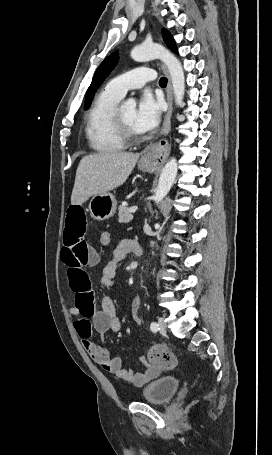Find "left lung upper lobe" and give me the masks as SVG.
<instances>
[{"label": "left lung upper lobe", "instance_id": "left-lung-upper-lobe-1", "mask_svg": "<svg viewBox=\"0 0 272 455\" xmlns=\"http://www.w3.org/2000/svg\"><path fill=\"white\" fill-rule=\"evenodd\" d=\"M163 38L166 45L171 48L172 51L178 53L175 40L173 39L172 35L166 30L163 29ZM118 62V52L115 51L111 55H109L98 67L97 71L94 74L92 83L87 90L86 97H85V105L84 108L88 109L92 103L94 94L97 88L102 84L105 78L110 74L113 68L116 66Z\"/></svg>", "mask_w": 272, "mask_h": 455}]
</instances>
